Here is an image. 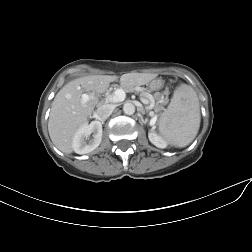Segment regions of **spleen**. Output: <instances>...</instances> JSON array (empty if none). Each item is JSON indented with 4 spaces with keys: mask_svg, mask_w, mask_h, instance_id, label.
Listing matches in <instances>:
<instances>
[{
    "mask_svg": "<svg viewBox=\"0 0 252 252\" xmlns=\"http://www.w3.org/2000/svg\"><path fill=\"white\" fill-rule=\"evenodd\" d=\"M200 106L194 89L181 84L173 93L170 104L159 119L158 130L172 146L185 147L200 127Z\"/></svg>",
    "mask_w": 252,
    "mask_h": 252,
    "instance_id": "3e777b00",
    "label": "spleen"
}]
</instances>
